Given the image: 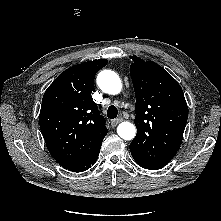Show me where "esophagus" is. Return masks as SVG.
I'll return each instance as SVG.
<instances>
[{
	"label": "esophagus",
	"mask_w": 221,
	"mask_h": 221,
	"mask_svg": "<svg viewBox=\"0 0 221 221\" xmlns=\"http://www.w3.org/2000/svg\"><path fill=\"white\" fill-rule=\"evenodd\" d=\"M123 121V118L122 117H118V118H116V119H113L112 121H111V125L113 126V127H115V126H117L120 122H122Z\"/></svg>",
	"instance_id": "1"
}]
</instances>
